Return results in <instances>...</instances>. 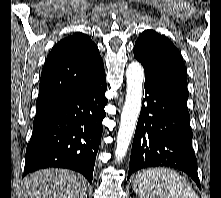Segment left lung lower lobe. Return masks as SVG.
Segmentation results:
<instances>
[{
  "mask_svg": "<svg viewBox=\"0 0 221 198\" xmlns=\"http://www.w3.org/2000/svg\"><path fill=\"white\" fill-rule=\"evenodd\" d=\"M144 95L127 179L142 168L170 166L186 172L201 189L187 106L149 78H145Z\"/></svg>",
  "mask_w": 221,
  "mask_h": 198,
  "instance_id": "1",
  "label": "left lung lower lobe"
}]
</instances>
